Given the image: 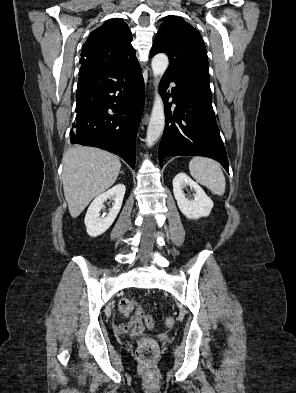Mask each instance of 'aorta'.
<instances>
[{"label": "aorta", "mask_w": 296, "mask_h": 393, "mask_svg": "<svg viewBox=\"0 0 296 393\" xmlns=\"http://www.w3.org/2000/svg\"><path fill=\"white\" fill-rule=\"evenodd\" d=\"M168 64L169 61L166 54L159 53L155 55L151 62L154 76L156 78L161 77L165 73ZM158 82L159 80L157 79V85ZM164 126H165L164 103L160 94L158 93V91H156L151 117L147 129L146 145L148 147H152L154 143L159 139V137L163 133Z\"/></svg>", "instance_id": "aorta-1"}]
</instances>
